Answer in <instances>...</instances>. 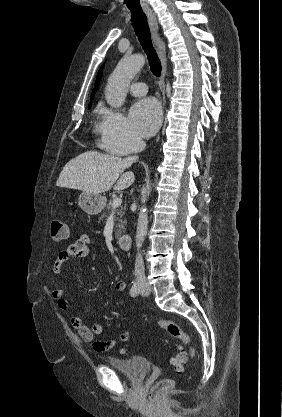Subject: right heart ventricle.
Listing matches in <instances>:
<instances>
[{
  "instance_id": "e07e8e85",
  "label": "right heart ventricle",
  "mask_w": 282,
  "mask_h": 417,
  "mask_svg": "<svg viewBox=\"0 0 282 417\" xmlns=\"http://www.w3.org/2000/svg\"><path fill=\"white\" fill-rule=\"evenodd\" d=\"M108 112L109 111L107 109H105L104 107H102V106H99L96 109V114H97V117L99 119L98 127L100 126L101 122L103 121V119L105 118V116L108 114ZM100 120H102V121L100 122Z\"/></svg>"
}]
</instances>
